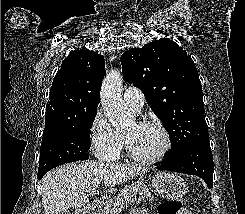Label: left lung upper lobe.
<instances>
[{
  "mask_svg": "<svg viewBox=\"0 0 245 214\" xmlns=\"http://www.w3.org/2000/svg\"><path fill=\"white\" fill-rule=\"evenodd\" d=\"M121 64L125 80L144 93L170 136L171 150L165 155L209 140L198 72L177 43L161 38L127 50Z\"/></svg>",
  "mask_w": 245,
  "mask_h": 214,
  "instance_id": "obj_1",
  "label": "left lung upper lobe"
}]
</instances>
